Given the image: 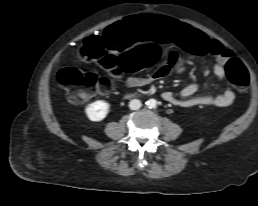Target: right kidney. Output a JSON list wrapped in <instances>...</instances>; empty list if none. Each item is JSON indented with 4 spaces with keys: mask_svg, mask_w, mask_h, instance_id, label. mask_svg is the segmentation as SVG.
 I'll return each instance as SVG.
<instances>
[{
    "mask_svg": "<svg viewBox=\"0 0 258 206\" xmlns=\"http://www.w3.org/2000/svg\"><path fill=\"white\" fill-rule=\"evenodd\" d=\"M110 105L103 101L98 100L89 105L85 109V113L89 120L94 122L102 121L109 113Z\"/></svg>",
    "mask_w": 258,
    "mask_h": 206,
    "instance_id": "1",
    "label": "right kidney"
}]
</instances>
